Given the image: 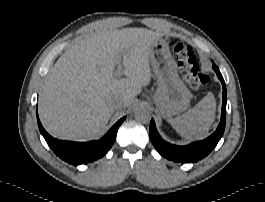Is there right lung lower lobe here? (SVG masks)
I'll return each mask as SVG.
<instances>
[{"instance_id":"right-lung-lower-lobe-1","label":"right lung lower lobe","mask_w":265,"mask_h":202,"mask_svg":"<svg viewBox=\"0 0 265 202\" xmlns=\"http://www.w3.org/2000/svg\"><path fill=\"white\" fill-rule=\"evenodd\" d=\"M125 117L121 118L112 128L98 141L70 142L51 137L43 128L37 113L38 127L49 147L64 161L73 164H85L104 156L113 145L117 130Z\"/></svg>"}]
</instances>
